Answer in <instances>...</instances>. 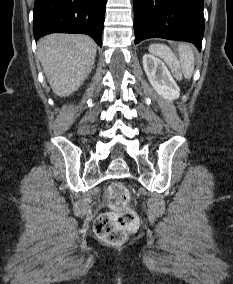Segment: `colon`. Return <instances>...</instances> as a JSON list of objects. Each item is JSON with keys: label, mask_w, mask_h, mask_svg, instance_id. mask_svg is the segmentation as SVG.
I'll list each match as a JSON object with an SVG mask.
<instances>
[{"label": "colon", "mask_w": 233, "mask_h": 284, "mask_svg": "<svg viewBox=\"0 0 233 284\" xmlns=\"http://www.w3.org/2000/svg\"><path fill=\"white\" fill-rule=\"evenodd\" d=\"M150 51L167 64L177 80H182L179 61L169 47L153 44ZM107 194L111 211L96 218L94 229L100 238L111 243H120L126 239L128 231L134 228L137 216L128 206L129 191L124 184L120 182L111 184Z\"/></svg>", "instance_id": "obj_1"}]
</instances>
